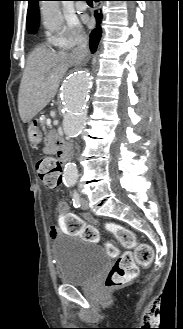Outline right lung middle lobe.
Segmentation results:
<instances>
[{
  "instance_id": "1",
  "label": "right lung middle lobe",
  "mask_w": 183,
  "mask_h": 329,
  "mask_svg": "<svg viewBox=\"0 0 183 329\" xmlns=\"http://www.w3.org/2000/svg\"><path fill=\"white\" fill-rule=\"evenodd\" d=\"M38 27H39V26H37L36 28H34V30H32L30 33H31V34H36L37 31H38Z\"/></svg>"
}]
</instances>
